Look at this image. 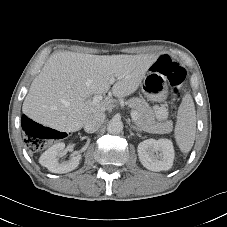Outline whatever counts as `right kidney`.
Instances as JSON below:
<instances>
[{
    "instance_id": "obj_1",
    "label": "right kidney",
    "mask_w": 227,
    "mask_h": 227,
    "mask_svg": "<svg viewBox=\"0 0 227 227\" xmlns=\"http://www.w3.org/2000/svg\"><path fill=\"white\" fill-rule=\"evenodd\" d=\"M64 148V143H58L47 149L39 159L40 164L52 173L62 174L74 170L80 163L81 154L75 152L69 160L59 161Z\"/></svg>"
}]
</instances>
